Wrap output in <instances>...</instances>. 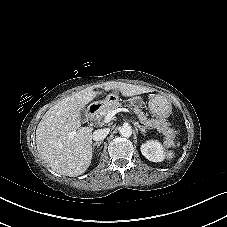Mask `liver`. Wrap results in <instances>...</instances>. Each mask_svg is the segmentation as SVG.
<instances>
[{"instance_id":"6515ba94","label":"liver","mask_w":227,"mask_h":227,"mask_svg":"<svg viewBox=\"0 0 227 227\" xmlns=\"http://www.w3.org/2000/svg\"><path fill=\"white\" fill-rule=\"evenodd\" d=\"M103 88L119 90L125 97L150 92L142 86L117 82L106 83ZM95 96L89 87L65 97L44 114L37 126L38 153L44 163L60 175L79 176L91 164L93 128L81 127L80 112ZM72 132H75L73 136Z\"/></svg>"}]
</instances>
